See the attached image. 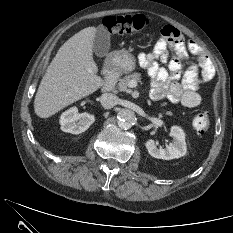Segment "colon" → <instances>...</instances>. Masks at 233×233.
I'll list each match as a JSON object with an SVG mask.
<instances>
[{"instance_id": "1", "label": "colon", "mask_w": 233, "mask_h": 233, "mask_svg": "<svg viewBox=\"0 0 233 233\" xmlns=\"http://www.w3.org/2000/svg\"><path fill=\"white\" fill-rule=\"evenodd\" d=\"M149 20L144 15H116L103 20L106 29L113 35L138 32L147 27ZM210 119L207 112L198 113L193 119V127L198 133L208 130Z\"/></svg>"}]
</instances>
